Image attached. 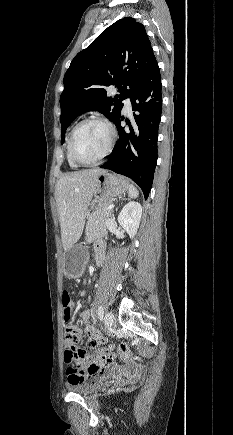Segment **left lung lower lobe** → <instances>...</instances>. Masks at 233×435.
I'll return each mask as SVG.
<instances>
[{
  "mask_svg": "<svg viewBox=\"0 0 233 435\" xmlns=\"http://www.w3.org/2000/svg\"><path fill=\"white\" fill-rule=\"evenodd\" d=\"M162 84L158 64L130 97L133 120L129 126H121L120 116L115 122L119 141L115 144L110 159L101 168L112 170L131 178L148 198L157 163L158 128L162 112Z\"/></svg>",
  "mask_w": 233,
  "mask_h": 435,
  "instance_id": "left-lung-lower-lobe-1",
  "label": "left lung lower lobe"
}]
</instances>
